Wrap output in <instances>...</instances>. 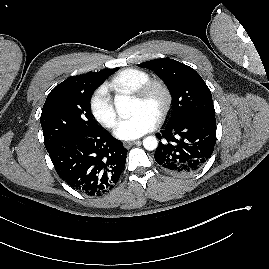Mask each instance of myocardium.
Returning <instances> with one entry per match:
<instances>
[{"mask_svg":"<svg viewBox=\"0 0 269 269\" xmlns=\"http://www.w3.org/2000/svg\"><path fill=\"white\" fill-rule=\"evenodd\" d=\"M154 91H159L163 96V102L156 117L157 121L160 122L167 116L173 101L171 89L164 80L150 78L139 86L132 95L135 99L145 101Z\"/></svg>","mask_w":269,"mask_h":269,"instance_id":"f54148a6","label":"myocardium"}]
</instances>
